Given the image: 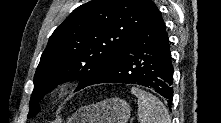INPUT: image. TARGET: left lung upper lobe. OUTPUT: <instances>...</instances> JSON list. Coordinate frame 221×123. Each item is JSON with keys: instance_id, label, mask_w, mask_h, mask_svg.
<instances>
[{"instance_id": "1", "label": "left lung upper lobe", "mask_w": 221, "mask_h": 123, "mask_svg": "<svg viewBox=\"0 0 221 123\" xmlns=\"http://www.w3.org/2000/svg\"><path fill=\"white\" fill-rule=\"evenodd\" d=\"M158 12L152 0H92L76 8L50 36L34 75L28 118L56 85L79 80L77 90L117 59Z\"/></svg>"}]
</instances>
